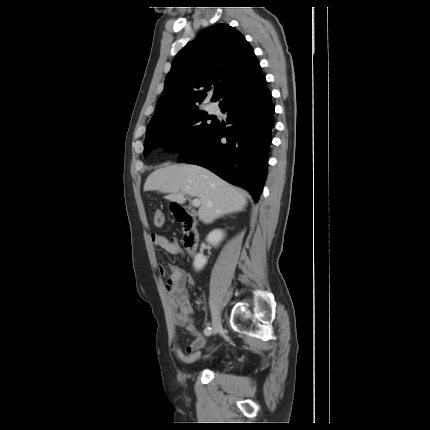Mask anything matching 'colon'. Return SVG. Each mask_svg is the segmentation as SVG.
<instances>
[{
	"label": "colon",
	"mask_w": 430,
	"mask_h": 430,
	"mask_svg": "<svg viewBox=\"0 0 430 430\" xmlns=\"http://www.w3.org/2000/svg\"><path fill=\"white\" fill-rule=\"evenodd\" d=\"M165 221V215L164 212L160 209L156 210L154 213V224L156 226H162Z\"/></svg>",
	"instance_id": "1"
}]
</instances>
